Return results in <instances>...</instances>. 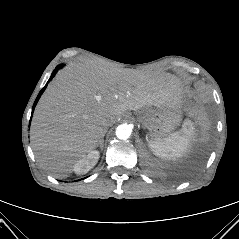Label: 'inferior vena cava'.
Segmentation results:
<instances>
[{"label": "inferior vena cava", "mask_w": 239, "mask_h": 239, "mask_svg": "<svg viewBox=\"0 0 239 239\" xmlns=\"http://www.w3.org/2000/svg\"><path fill=\"white\" fill-rule=\"evenodd\" d=\"M115 122H116V120L114 118H109L103 122V126H104V128H107L109 126H112Z\"/></svg>", "instance_id": "inferior-vena-cava-1"}]
</instances>
